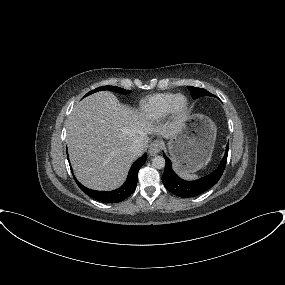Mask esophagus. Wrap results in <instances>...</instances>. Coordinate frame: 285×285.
Returning a JSON list of instances; mask_svg holds the SVG:
<instances>
[{"instance_id":"1","label":"esophagus","mask_w":285,"mask_h":285,"mask_svg":"<svg viewBox=\"0 0 285 285\" xmlns=\"http://www.w3.org/2000/svg\"><path fill=\"white\" fill-rule=\"evenodd\" d=\"M162 142L159 140H154L149 146V154L151 156L157 155L162 149Z\"/></svg>"}]
</instances>
